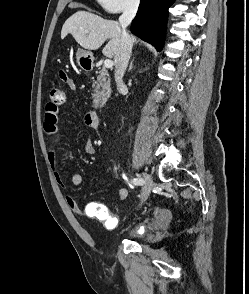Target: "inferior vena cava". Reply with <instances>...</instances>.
Masks as SVG:
<instances>
[{
    "label": "inferior vena cava",
    "mask_w": 249,
    "mask_h": 294,
    "mask_svg": "<svg viewBox=\"0 0 249 294\" xmlns=\"http://www.w3.org/2000/svg\"><path fill=\"white\" fill-rule=\"evenodd\" d=\"M138 6L139 0H132L124 9L123 14L119 17V23L122 27V42L115 61V81L119 92L127 90L126 85L123 83V76L129 63L133 43L126 28L135 17Z\"/></svg>",
    "instance_id": "1"
}]
</instances>
